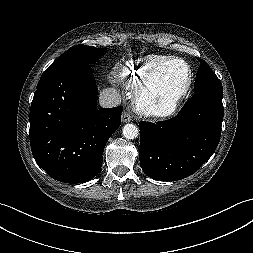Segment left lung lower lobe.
I'll list each match as a JSON object with an SVG mask.
<instances>
[{"label": "left lung lower lobe", "instance_id": "left-lung-lower-lobe-1", "mask_svg": "<svg viewBox=\"0 0 253 253\" xmlns=\"http://www.w3.org/2000/svg\"><path fill=\"white\" fill-rule=\"evenodd\" d=\"M223 92L202 90L176 117L140 122V164L155 179L175 181L195 173L214 153L221 135Z\"/></svg>", "mask_w": 253, "mask_h": 253}]
</instances>
